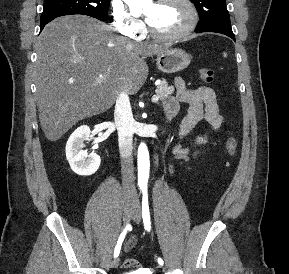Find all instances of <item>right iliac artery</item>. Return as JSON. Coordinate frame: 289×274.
Masks as SVG:
<instances>
[{"label": "right iliac artery", "mask_w": 289, "mask_h": 274, "mask_svg": "<svg viewBox=\"0 0 289 274\" xmlns=\"http://www.w3.org/2000/svg\"><path fill=\"white\" fill-rule=\"evenodd\" d=\"M130 229H131V225L127 224L125 229L120 234L119 239L117 241V245H116L115 250H114V258L118 257V255L120 253V250H121L122 243H123V241L125 239V236L127 234V231L130 230Z\"/></svg>", "instance_id": "1"}]
</instances>
